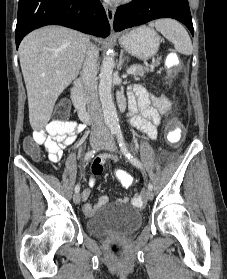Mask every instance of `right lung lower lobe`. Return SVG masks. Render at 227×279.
Wrapping results in <instances>:
<instances>
[{"label": "right lung lower lobe", "mask_w": 227, "mask_h": 279, "mask_svg": "<svg viewBox=\"0 0 227 279\" xmlns=\"http://www.w3.org/2000/svg\"><path fill=\"white\" fill-rule=\"evenodd\" d=\"M45 25H62L100 37H107L110 33V25L99 0H20L16 48L25 35Z\"/></svg>", "instance_id": "98d812e1"}]
</instances>
